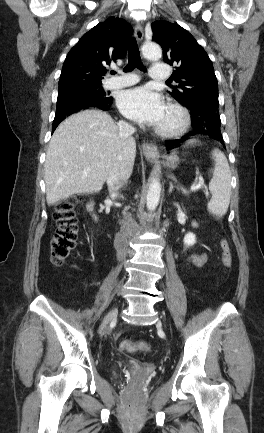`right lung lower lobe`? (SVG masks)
<instances>
[{
	"mask_svg": "<svg viewBox=\"0 0 264 433\" xmlns=\"http://www.w3.org/2000/svg\"><path fill=\"white\" fill-rule=\"evenodd\" d=\"M112 99V97L99 98L94 96H78L70 99L68 102L61 103L63 111L56 113L52 125V132H54L65 117L72 113L88 108H99L108 111L112 105Z\"/></svg>",
	"mask_w": 264,
	"mask_h": 433,
	"instance_id": "right-lung-lower-lobe-1",
	"label": "right lung lower lobe"
}]
</instances>
